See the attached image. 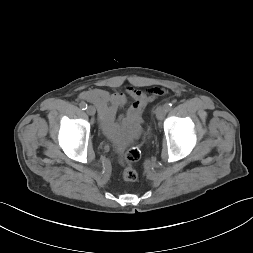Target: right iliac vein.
<instances>
[{"instance_id": "1", "label": "right iliac vein", "mask_w": 253, "mask_h": 253, "mask_svg": "<svg viewBox=\"0 0 253 253\" xmlns=\"http://www.w3.org/2000/svg\"><path fill=\"white\" fill-rule=\"evenodd\" d=\"M86 112H87L89 115L92 116V115L95 114L96 110H95V108H94L93 106H88Z\"/></svg>"}]
</instances>
